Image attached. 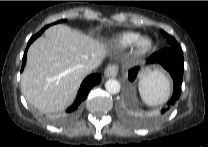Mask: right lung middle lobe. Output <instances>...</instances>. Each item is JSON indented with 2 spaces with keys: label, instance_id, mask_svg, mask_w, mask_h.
<instances>
[{
  "label": "right lung middle lobe",
  "instance_id": "right-lung-middle-lobe-1",
  "mask_svg": "<svg viewBox=\"0 0 208 147\" xmlns=\"http://www.w3.org/2000/svg\"><path fill=\"white\" fill-rule=\"evenodd\" d=\"M48 26H45L40 32H43Z\"/></svg>",
  "mask_w": 208,
  "mask_h": 147
}]
</instances>
